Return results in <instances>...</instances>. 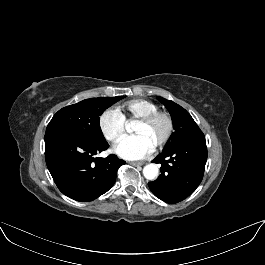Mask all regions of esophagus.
<instances>
[{"instance_id":"obj_1","label":"esophagus","mask_w":265,"mask_h":265,"mask_svg":"<svg viewBox=\"0 0 265 265\" xmlns=\"http://www.w3.org/2000/svg\"><path fill=\"white\" fill-rule=\"evenodd\" d=\"M144 163L145 162H143V161L130 162V164L133 166H142V165H144Z\"/></svg>"}]
</instances>
